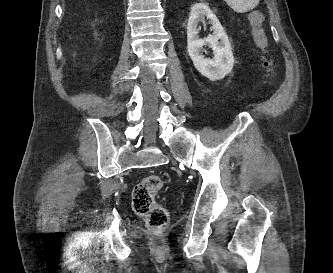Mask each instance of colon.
Returning <instances> with one entry per match:
<instances>
[{"label": "colon", "mask_w": 333, "mask_h": 273, "mask_svg": "<svg viewBox=\"0 0 333 273\" xmlns=\"http://www.w3.org/2000/svg\"><path fill=\"white\" fill-rule=\"evenodd\" d=\"M252 35L256 44L266 49L268 39L263 30L264 16L260 12H251L248 16ZM262 65L267 72L268 82H271L276 74V68L272 59L267 56L262 58ZM164 182L159 175L151 174L144 177L133 189L132 205L134 211L142 216L148 226L155 230H163L169 222L167 210L159 204L155 197L163 188Z\"/></svg>", "instance_id": "5ec220e1"}]
</instances>
